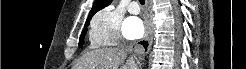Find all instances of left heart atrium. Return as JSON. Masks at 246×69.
<instances>
[{
  "mask_svg": "<svg viewBox=\"0 0 246 69\" xmlns=\"http://www.w3.org/2000/svg\"><path fill=\"white\" fill-rule=\"evenodd\" d=\"M123 32L128 39H137L144 33L143 22L138 17H128L124 22Z\"/></svg>",
  "mask_w": 246,
  "mask_h": 69,
  "instance_id": "1",
  "label": "left heart atrium"
}]
</instances>
